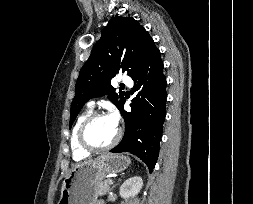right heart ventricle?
I'll return each instance as SVG.
<instances>
[{"label":"right heart ventricle","instance_id":"obj_1","mask_svg":"<svg viewBox=\"0 0 253 204\" xmlns=\"http://www.w3.org/2000/svg\"><path fill=\"white\" fill-rule=\"evenodd\" d=\"M91 113H92L91 108L86 109L84 112H82L78 116V118L75 122V125L73 127L71 139H70V145H71L72 157L75 161L83 160L90 155L89 151L83 149L80 146L79 140H78V133H79V129H80L81 124Z\"/></svg>","mask_w":253,"mask_h":204}]
</instances>
